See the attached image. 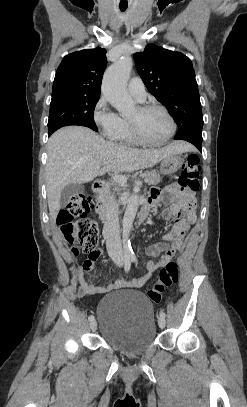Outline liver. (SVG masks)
Instances as JSON below:
<instances>
[{
    "label": "liver",
    "mask_w": 247,
    "mask_h": 407,
    "mask_svg": "<svg viewBox=\"0 0 247 407\" xmlns=\"http://www.w3.org/2000/svg\"><path fill=\"white\" fill-rule=\"evenodd\" d=\"M191 149L183 141H174L159 149H134L106 141L86 127L61 128L49 138L47 145L46 189L50 218L55 221L61 192L69 184L90 182L106 172L146 169L170 155ZM105 161L110 164L100 169Z\"/></svg>",
    "instance_id": "liver-1"
}]
</instances>
